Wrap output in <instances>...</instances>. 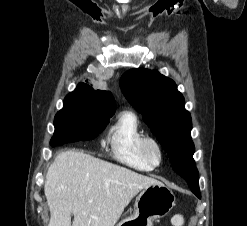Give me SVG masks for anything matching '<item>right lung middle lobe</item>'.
<instances>
[{
	"label": "right lung middle lobe",
	"mask_w": 247,
	"mask_h": 226,
	"mask_svg": "<svg viewBox=\"0 0 247 226\" xmlns=\"http://www.w3.org/2000/svg\"><path fill=\"white\" fill-rule=\"evenodd\" d=\"M100 104L88 97L69 93L63 108L54 119L55 132L52 146L80 140H90L103 131L111 115L103 114Z\"/></svg>",
	"instance_id": "1"
}]
</instances>
